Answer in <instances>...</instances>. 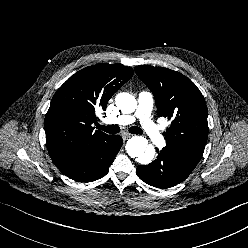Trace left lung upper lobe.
<instances>
[{
  "instance_id": "obj_1",
  "label": "left lung upper lobe",
  "mask_w": 248,
  "mask_h": 248,
  "mask_svg": "<svg viewBox=\"0 0 248 248\" xmlns=\"http://www.w3.org/2000/svg\"><path fill=\"white\" fill-rule=\"evenodd\" d=\"M135 71L152 91L158 115L172 120L163 133L166 146L162 151L193 170L208 137V112L203 95L179 72L147 65L137 66Z\"/></svg>"
}]
</instances>
